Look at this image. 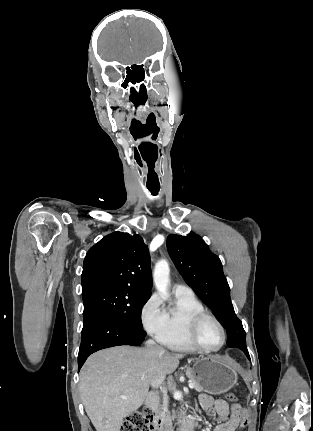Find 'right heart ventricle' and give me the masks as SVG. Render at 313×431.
Here are the masks:
<instances>
[{
	"instance_id": "right-heart-ventricle-1",
	"label": "right heart ventricle",
	"mask_w": 313,
	"mask_h": 431,
	"mask_svg": "<svg viewBox=\"0 0 313 431\" xmlns=\"http://www.w3.org/2000/svg\"><path fill=\"white\" fill-rule=\"evenodd\" d=\"M203 311V304L194 294H176L175 305L166 310L167 326L160 342L174 351L196 350L188 340L187 330L191 319Z\"/></svg>"
}]
</instances>
